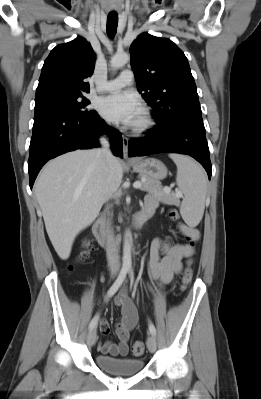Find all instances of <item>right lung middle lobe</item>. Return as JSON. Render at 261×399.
<instances>
[{"label":"right lung middle lobe","instance_id":"1","mask_svg":"<svg viewBox=\"0 0 261 399\" xmlns=\"http://www.w3.org/2000/svg\"><path fill=\"white\" fill-rule=\"evenodd\" d=\"M82 94L57 95L35 100V115L50 112L64 111L79 117H90L95 111L85 110L90 101Z\"/></svg>","mask_w":261,"mask_h":399}]
</instances>
